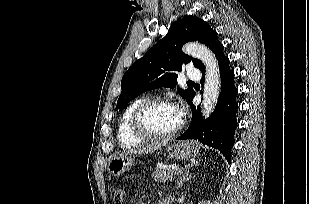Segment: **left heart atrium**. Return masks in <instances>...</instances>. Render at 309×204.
I'll return each instance as SVG.
<instances>
[{
  "instance_id": "obj_1",
  "label": "left heart atrium",
  "mask_w": 309,
  "mask_h": 204,
  "mask_svg": "<svg viewBox=\"0 0 309 204\" xmlns=\"http://www.w3.org/2000/svg\"><path fill=\"white\" fill-rule=\"evenodd\" d=\"M177 109L179 111L180 116H182L183 115V109H181V108H177Z\"/></svg>"
}]
</instances>
